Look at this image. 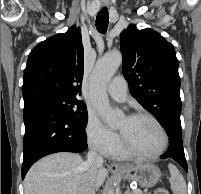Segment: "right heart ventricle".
Here are the masks:
<instances>
[{
	"label": "right heart ventricle",
	"instance_id": "obj_1",
	"mask_svg": "<svg viewBox=\"0 0 201 194\" xmlns=\"http://www.w3.org/2000/svg\"><path fill=\"white\" fill-rule=\"evenodd\" d=\"M111 157L117 158V159H124L128 155L124 152L123 148L119 146L117 149H115L113 152L109 154Z\"/></svg>",
	"mask_w": 201,
	"mask_h": 194
}]
</instances>
